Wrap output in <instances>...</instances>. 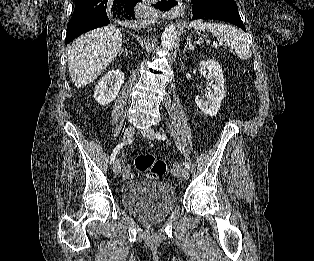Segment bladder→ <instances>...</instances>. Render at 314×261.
Returning a JSON list of instances; mask_svg holds the SVG:
<instances>
[{"label":"bladder","instance_id":"1","mask_svg":"<svg viewBox=\"0 0 314 261\" xmlns=\"http://www.w3.org/2000/svg\"><path fill=\"white\" fill-rule=\"evenodd\" d=\"M121 201L128 212L153 224L168 217L176 204V190L162 181L131 180L121 189Z\"/></svg>","mask_w":314,"mask_h":261}]
</instances>
